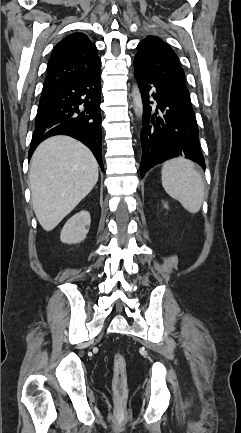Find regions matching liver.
Here are the masks:
<instances>
[{"label": "liver", "instance_id": "obj_1", "mask_svg": "<svg viewBox=\"0 0 241 433\" xmlns=\"http://www.w3.org/2000/svg\"><path fill=\"white\" fill-rule=\"evenodd\" d=\"M97 181L98 163L81 142L68 136L42 142L30 163L32 205L42 228L53 230Z\"/></svg>", "mask_w": 241, "mask_h": 433}]
</instances>
